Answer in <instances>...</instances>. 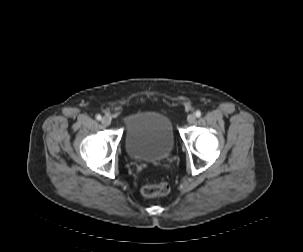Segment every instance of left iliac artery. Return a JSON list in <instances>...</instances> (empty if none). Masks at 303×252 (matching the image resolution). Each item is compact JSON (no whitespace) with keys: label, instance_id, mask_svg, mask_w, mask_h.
Returning a JSON list of instances; mask_svg holds the SVG:
<instances>
[{"label":"left iliac artery","instance_id":"1","mask_svg":"<svg viewBox=\"0 0 303 252\" xmlns=\"http://www.w3.org/2000/svg\"><path fill=\"white\" fill-rule=\"evenodd\" d=\"M195 115H196L197 118H199V117L201 116V112H200L199 110H197V111L195 112Z\"/></svg>","mask_w":303,"mask_h":252}]
</instances>
